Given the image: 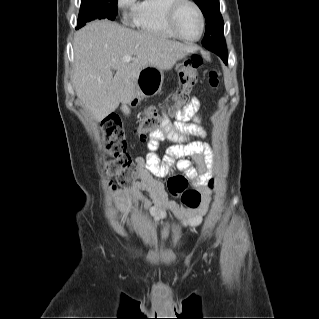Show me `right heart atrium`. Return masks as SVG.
<instances>
[{"mask_svg": "<svg viewBox=\"0 0 319 319\" xmlns=\"http://www.w3.org/2000/svg\"><path fill=\"white\" fill-rule=\"evenodd\" d=\"M136 5V0H117L118 8L123 12L132 13Z\"/></svg>", "mask_w": 319, "mask_h": 319, "instance_id": "obj_1", "label": "right heart atrium"}]
</instances>
